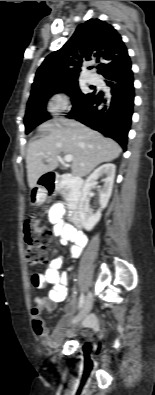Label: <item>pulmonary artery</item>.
<instances>
[{"mask_svg": "<svg viewBox=\"0 0 155 395\" xmlns=\"http://www.w3.org/2000/svg\"><path fill=\"white\" fill-rule=\"evenodd\" d=\"M88 81H89L90 83H97V82H98V78H97L95 75H90V76L88 77Z\"/></svg>", "mask_w": 155, "mask_h": 395, "instance_id": "1", "label": "pulmonary artery"}]
</instances>
